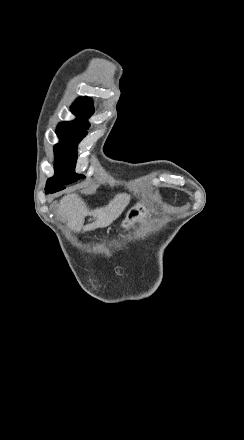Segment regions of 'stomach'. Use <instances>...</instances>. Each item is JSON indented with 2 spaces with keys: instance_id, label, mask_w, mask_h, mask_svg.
Instances as JSON below:
<instances>
[{
  "instance_id": "stomach-1",
  "label": "stomach",
  "mask_w": 244,
  "mask_h": 440,
  "mask_svg": "<svg viewBox=\"0 0 244 440\" xmlns=\"http://www.w3.org/2000/svg\"><path fill=\"white\" fill-rule=\"evenodd\" d=\"M150 216L151 210L146 202H138V204H135V206L130 208L129 212H127L126 218L121 224V228H123V230H130V228H133L137 222L147 220Z\"/></svg>"
}]
</instances>
